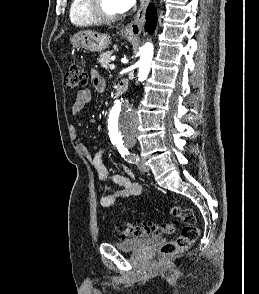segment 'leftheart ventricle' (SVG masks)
I'll use <instances>...</instances> for the list:
<instances>
[{
  "instance_id": "1",
  "label": "left heart ventricle",
  "mask_w": 259,
  "mask_h": 294,
  "mask_svg": "<svg viewBox=\"0 0 259 294\" xmlns=\"http://www.w3.org/2000/svg\"><path fill=\"white\" fill-rule=\"evenodd\" d=\"M101 5L108 14L115 15L122 13L116 0H101Z\"/></svg>"
}]
</instances>
